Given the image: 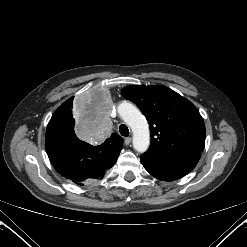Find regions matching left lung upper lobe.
Wrapping results in <instances>:
<instances>
[{
    "instance_id": "obj_1",
    "label": "left lung upper lobe",
    "mask_w": 247,
    "mask_h": 247,
    "mask_svg": "<svg viewBox=\"0 0 247 247\" xmlns=\"http://www.w3.org/2000/svg\"><path fill=\"white\" fill-rule=\"evenodd\" d=\"M147 118L151 144L148 151L164 154L201 153L205 125L197 108L170 88L134 85L122 89Z\"/></svg>"
}]
</instances>
